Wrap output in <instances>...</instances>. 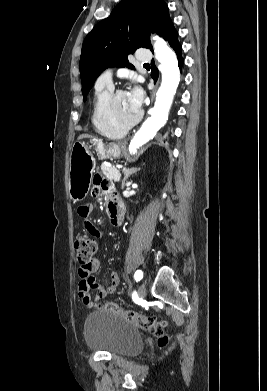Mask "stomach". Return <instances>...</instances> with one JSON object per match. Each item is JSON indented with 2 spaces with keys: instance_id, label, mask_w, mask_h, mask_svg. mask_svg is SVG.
Returning <instances> with one entry per match:
<instances>
[{
  "instance_id": "obj_1",
  "label": "stomach",
  "mask_w": 267,
  "mask_h": 391,
  "mask_svg": "<svg viewBox=\"0 0 267 391\" xmlns=\"http://www.w3.org/2000/svg\"><path fill=\"white\" fill-rule=\"evenodd\" d=\"M92 143L100 159L119 158L123 151L119 144L104 145L98 140ZM90 148L91 146L84 142H76L72 147L68 188L70 198L74 202L83 200L90 189L92 174L96 166V160Z\"/></svg>"
}]
</instances>
